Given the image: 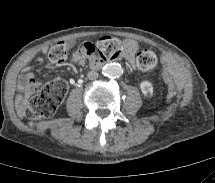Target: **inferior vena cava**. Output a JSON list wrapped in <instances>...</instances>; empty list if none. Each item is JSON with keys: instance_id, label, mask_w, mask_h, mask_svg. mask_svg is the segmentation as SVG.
Masks as SVG:
<instances>
[{"instance_id": "1", "label": "inferior vena cava", "mask_w": 215, "mask_h": 183, "mask_svg": "<svg viewBox=\"0 0 215 183\" xmlns=\"http://www.w3.org/2000/svg\"><path fill=\"white\" fill-rule=\"evenodd\" d=\"M87 77L90 80H95L98 78V73L96 71H90V72H88Z\"/></svg>"}]
</instances>
